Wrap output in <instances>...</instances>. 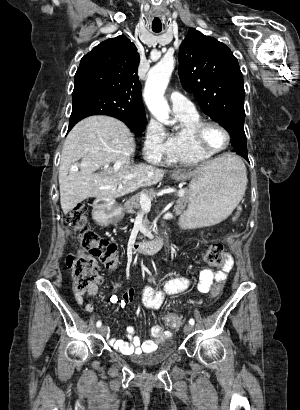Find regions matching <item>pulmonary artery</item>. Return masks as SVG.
Listing matches in <instances>:
<instances>
[{
	"instance_id": "e3ab8cb5",
	"label": "pulmonary artery",
	"mask_w": 300,
	"mask_h": 410,
	"mask_svg": "<svg viewBox=\"0 0 300 410\" xmlns=\"http://www.w3.org/2000/svg\"><path fill=\"white\" fill-rule=\"evenodd\" d=\"M169 100L174 112L191 113L196 111L192 101L178 92H171L169 95Z\"/></svg>"
}]
</instances>
